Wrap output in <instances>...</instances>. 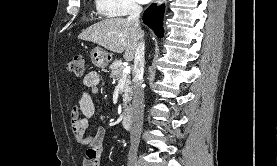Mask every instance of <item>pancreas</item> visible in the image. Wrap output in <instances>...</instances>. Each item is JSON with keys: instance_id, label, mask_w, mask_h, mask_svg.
<instances>
[{"instance_id": "obj_1", "label": "pancreas", "mask_w": 277, "mask_h": 166, "mask_svg": "<svg viewBox=\"0 0 277 166\" xmlns=\"http://www.w3.org/2000/svg\"><path fill=\"white\" fill-rule=\"evenodd\" d=\"M111 73L110 78L115 81L120 80L123 76L126 77V84H125V93L123 95V115H128L131 111L129 101L131 99V79L129 74H125L123 72L124 66L122 65L121 60L114 61L109 67Z\"/></svg>"}]
</instances>
